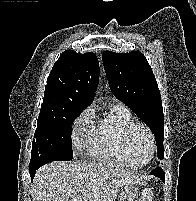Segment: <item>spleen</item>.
<instances>
[{
    "instance_id": "obj_1",
    "label": "spleen",
    "mask_w": 196,
    "mask_h": 201,
    "mask_svg": "<svg viewBox=\"0 0 196 201\" xmlns=\"http://www.w3.org/2000/svg\"><path fill=\"white\" fill-rule=\"evenodd\" d=\"M153 199V194L150 189H147L143 192V199L142 201H152Z\"/></svg>"
}]
</instances>
